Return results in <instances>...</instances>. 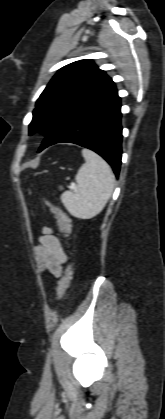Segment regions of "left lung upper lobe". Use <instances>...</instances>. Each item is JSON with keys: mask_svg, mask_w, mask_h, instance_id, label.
<instances>
[{"mask_svg": "<svg viewBox=\"0 0 165 419\" xmlns=\"http://www.w3.org/2000/svg\"><path fill=\"white\" fill-rule=\"evenodd\" d=\"M113 83L92 60H80L61 68L36 102L29 134L45 137L79 104Z\"/></svg>", "mask_w": 165, "mask_h": 419, "instance_id": "left-lung-upper-lobe-1", "label": "left lung upper lobe"}]
</instances>
